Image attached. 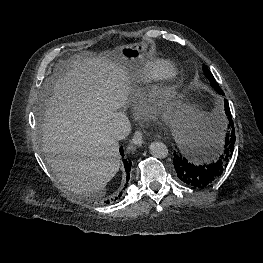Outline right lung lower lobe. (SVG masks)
I'll return each instance as SVG.
<instances>
[{
	"label": "right lung lower lobe",
	"instance_id": "98d812e1",
	"mask_svg": "<svg viewBox=\"0 0 263 263\" xmlns=\"http://www.w3.org/2000/svg\"><path fill=\"white\" fill-rule=\"evenodd\" d=\"M120 154L122 155V158H124V152H123V148H122V147L120 148ZM123 163H124L125 171H126V174H127L126 179H127V181H128V180H129V177H130L129 172H130V170H131L132 162L129 161V160H127V159H124V160H123ZM121 195H122V193H120L119 197H120ZM115 199H117V197H116ZM107 203H109V201H107Z\"/></svg>",
	"mask_w": 263,
	"mask_h": 263
}]
</instances>
